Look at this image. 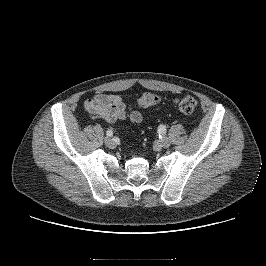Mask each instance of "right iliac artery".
Here are the masks:
<instances>
[{
    "label": "right iliac artery",
    "mask_w": 266,
    "mask_h": 266,
    "mask_svg": "<svg viewBox=\"0 0 266 266\" xmlns=\"http://www.w3.org/2000/svg\"><path fill=\"white\" fill-rule=\"evenodd\" d=\"M106 135H107L108 137H112V136H113V131H112V130H108V131L106 132Z\"/></svg>",
    "instance_id": "obj_1"
}]
</instances>
